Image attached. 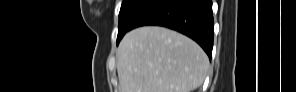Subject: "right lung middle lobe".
<instances>
[{"label": "right lung middle lobe", "mask_w": 296, "mask_h": 92, "mask_svg": "<svg viewBox=\"0 0 296 92\" xmlns=\"http://www.w3.org/2000/svg\"><path fill=\"white\" fill-rule=\"evenodd\" d=\"M154 0H123L120 13L117 44L126 32L131 30L133 22Z\"/></svg>", "instance_id": "right-lung-middle-lobe-1"}]
</instances>
